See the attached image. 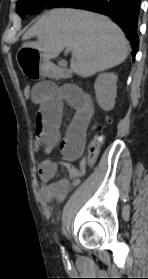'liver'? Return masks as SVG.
I'll return each mask as SVG.
<instances>
[{
    "instance_id": "6515ba94",
    "label": "liver",
    "mask_w": 148,
    "mask_h": 279,
    "mask_svg": "<svg viewBox=\"0 0 148 279\" xmlns=\"http://www.w3.org/2000/svg\"><path fill=\"white\" fill-rule=\"evenodd\" d=\"M24 48L42 53L45 61L58 57L64 48H70L71 70L90 77L124 62L129 43L123 31L108 17L79 9L57 8L47 11L23 35Z\"/></svg>"
}]
</instances>
